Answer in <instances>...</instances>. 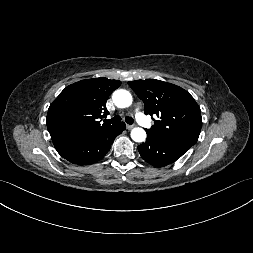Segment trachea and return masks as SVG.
Returning <instances> with one entry per match:
<instances>
[{"label": "trachea", "mask_w": 253, "mask_h": 253, "mask_svg": "<svg viewBox=\"0 0 253 253\" xmlns=\"http://www.w3.org/2000/svg\"><path fill=\"white\" fill-rule=\"evenodd\" d=\"M121 121V117L120 116H115V117H113L112 119H110V120H106V122L107 123H110V124H115V123H119ZM125 121H126V123H128V124H133V122H134V120H133V118L132 117H126L125 118Z\"/></svg>", "instance_id": "3493384b"}]
</instances>
